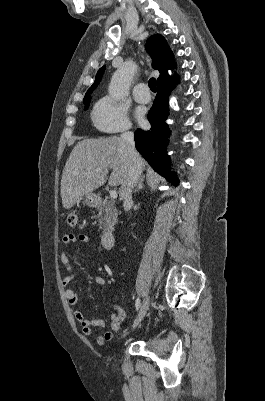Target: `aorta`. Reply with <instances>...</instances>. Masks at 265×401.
I'll list each match as a JSON object with an SVG mask.
<instances>
[{
    "instance_id": "762f6f07",
    "label": "aorta",
    "mask_w": 265,
    "mask_h": 401,
    "mask_svg": "<svg viewBox=\"0 0 265 401\" xmlns=\"http://www.w3.org/2000/svg\"><path fill=\"white\" fill-rule=\"evenodd\" d=\"M138 66L133 60H126L122 68H118L114 72L108 86L109 96H112L114 100H120L125 98L127 94V86H129Z\"/></svg>"
}]
</instances>
